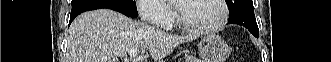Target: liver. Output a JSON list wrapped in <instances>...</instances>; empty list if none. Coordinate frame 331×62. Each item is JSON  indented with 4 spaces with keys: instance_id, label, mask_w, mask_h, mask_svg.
<instances>
[{
    "instance_id": "1",
    "label": "liver",
    "mask_w": 331,
    "mask_h": 62,
    "mask_svg": "<svg viewBox=\"0 0 331 62\" xmlns=\"http://www.w3.org/2000/svg\"><path fill=\"white\" fill-rule=\"evenodd\" d=\"M195 35L165 33L109 9L85 12L71 24L67 62H118L133 48H146L154 60H161L178 45Z\"/></svg>"
}]
</instances>
